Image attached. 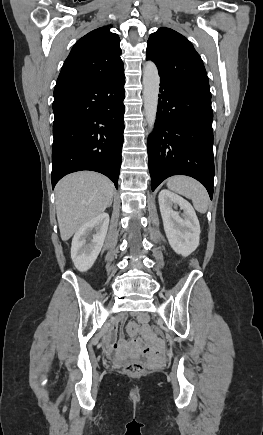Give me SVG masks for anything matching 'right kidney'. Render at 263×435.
<instances>
[{
	"mask_svg": "<svg viewBox=\"0 0 263 435\" xmlns=\"http://www.w3.org/2000/svg\"><path fill=\"white\" fill-rule=\"evenodd\" d=\"M108 225L109 215L101 213L76 231L72 239L71 258L79 271L85 272L93 266L103 246Z\"/></svg>",
	"mask_w": 263,
	"mask_h": 435,
	"instance_id": "right-kidney-1",
	"label": "right kidney"
}]
</instances>
